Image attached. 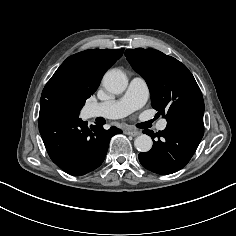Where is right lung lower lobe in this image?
Instances as JSON below:
<instances>
[{
	"label": "right lung lower lobe",
	"instance_id": "right-lung-lower-lobe-1",
	"mask_svg": "<svg viewBox=\"0 0 236 236\" xmlns=\"http://www.w3.org/2000/svg\"><path fill=\"white\" fill-rule=\"evenodd\" d=\"M39 130L51 160L66 173L81 176L98 168L116 127L87 126L76 115L56 104L40 106Z\"/></svg>",
	"mask_w": 236,
	"mask_h": 236
}]
</instances>
